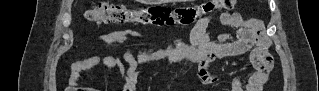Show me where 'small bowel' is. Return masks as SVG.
Wrapping results in <instances>:
<instances>
[{
  "label": "small bowel",
  "mask_w": 319,
  "mask_h": 91,
  "mask_svg": "<svg viewBox=\"0 0 319 91\" xmlns=\"http://www.w3.org/2000/svg\"><path fill=\"white\" fill-rule=\"evenodd\" d=\"M210 22L209 17L200 19L189 34V42L176 39L161 51H156L143 43L142 36L134 30H120L104 34L99 41L105 45L121 46L123 59L103 55L77 61L71 69V83H78L81 72L84 70L104 67L118 71L122 75V91H136L140 69L155 62L164 61L177 66L195 64L202 83L214 85L219 80L212 68L215 60L249 52L254 71L245 83L241 77L234 78L230 91L262 90L268 80L269 70L257 62L268 45L260 23L238 13H223L221 15L222 25L234 33H224L212 40L208 34ZM131 39L141 42L139 58L131 54L129 45Z\"/></svg>",
  "instance_id": "c3829d8e"
}]
</instances>
